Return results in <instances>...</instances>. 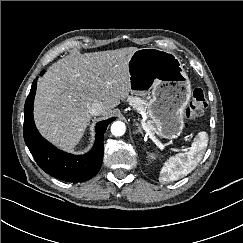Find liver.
Listing matches in <instances>:
<instances>
[{
  "label": "liver",
  "instance_id": "1",
  "mask_svg": "<svg viewBox=\"0 0 243 243\" xmlns=\"http://www.w3.org/2000/svg\"><path fill=\"white\" fill-rule=\"evenodd\" d=\"M136 47L67 56L39 79L34 119L40 133L63 150L82 138L92 114V102H101L109 116L131 91L128 62Z\"/></svg>",
  "mask_w": 243,
  "mask_h": 243
}]
</instances>
